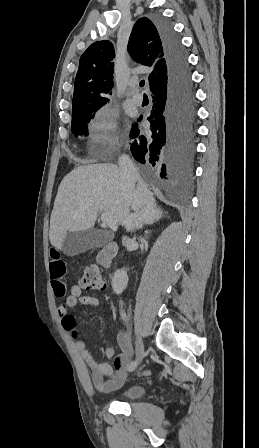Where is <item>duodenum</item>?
<instances>
[{"label": "duodenum", "mask_w": 259, "mask_h": 448, "mask_svg": "<svg viewBox=\"0 0 259 448\" xmlns=\"http://www.w3.org/2000/svg\"><path fill=\"white\" fill-rule=\"evenodd\" d=\"M117 254V245L113 242L107 243L97 255V262L104 268L111 267L113 260Z\"/></svg>", "instance_id": "1"}]
</instances>
